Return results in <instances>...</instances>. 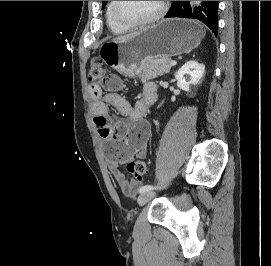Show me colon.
I'll return each mask as SVG.
<instances>
[{
    "label": "colon",
    "instance_id": "colon-1",
    "mask_svg": "<svg viewBox=\"0 0 271 266\" xmlns=\"http://www.w3.org/2000/svg\"><path fill=\"white\" fill-rule=\"evenodd\" d=\"M105 74V68L99 59H93L88 70V79L91 82L101 79ZM127 171L136 181H142L147 173L146 165L141 160L130 161L126 166Z\"/></svg>",
    "mask_w": 271,
    "mask_h": 266
}]
</instances>
